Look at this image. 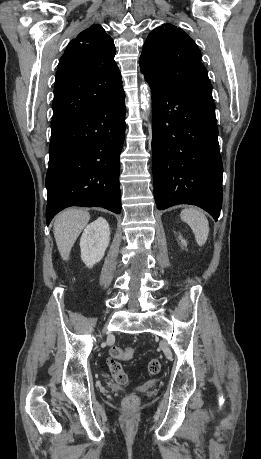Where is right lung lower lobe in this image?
Returning <instances> with one entry per match:
<instances>
[{"instance_id":"obj_1","label":"right lung lower lobe","mask_w":261,"mask_h":459,"mask_svg":"<svg viewBox=\"0 0 261 459\" xmlns=\"http://www.w3.org/2000/svg\"><path fill=\"white\" fill-rule=\"evenodd\" d=\"M123 87L96 108L52 131L46 175L47 225L69 206L121 212L119 157L125 136Z\"/></svg>"}]
</instances>
